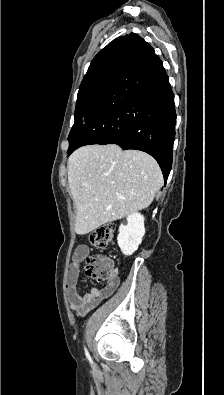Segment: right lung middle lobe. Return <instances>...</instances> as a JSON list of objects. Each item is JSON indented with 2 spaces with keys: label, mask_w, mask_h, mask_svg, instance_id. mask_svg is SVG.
Listing matches in <instances>:
<instances>
[{
  "label": "right lung middle lobe",
  "mask_w": 224,
  "mask_h": 395,
  "mask_svg": "<svg viewBox=\"0 0 224 395\" xmlns=\"http://www.w3.org/2000/svg\"><path fill=\"white\" fill-rule=\"evenodd\" d=\"M120 72L106 73L80 86L74 115L75 122L68 137L69 148L76 143L86 124L106 99L114 87Z\"/></svg>",
  "instance_id": "dd1d6c3e"
}]
</instances>
